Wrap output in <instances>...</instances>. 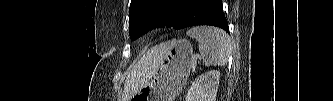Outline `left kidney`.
<instances>
[{
	"mask_svg": "<svg viewBox=\"0 0 333 101\" xmlns=\"http://www.w3.org/2000/svg\"><path fill=\"white\" fill-rule=\"evenodd\" d=\"M220 72L210 70L201 74L193 81L186 101H215L219 86Z\"/></svg>",
	"mask_w": 333,
	"mask_h": 101,
	"instance_id": "left-kidney-1",
	"label": "left kidney"
}]
</instances>
